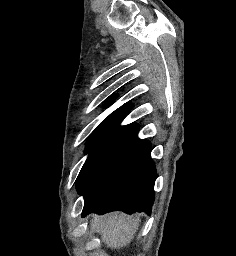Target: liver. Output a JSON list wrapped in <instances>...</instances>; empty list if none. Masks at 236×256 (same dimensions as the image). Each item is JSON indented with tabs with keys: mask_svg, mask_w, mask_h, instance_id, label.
I'll use <instances>...</instances> for the list:
<instances>
[{
	"mask_svg": "<svg viewBox=\"0 0 236 256\" xmlns=\"http://www.w3.org/2000/svg\"><path fill=\"white\" fill-rule=\"evenodd\" d=\"M138 216H125V214H106V216H94L91 220V228L100 234L102 242L111 250L125 248L134 238L139 226Z\"/></svg>",
	"mask_w": 236,
	"mask_h": 256,
	"instance_id": "obj_1",
	"label": "liver"
}]
</instances>
